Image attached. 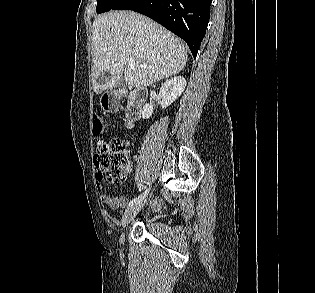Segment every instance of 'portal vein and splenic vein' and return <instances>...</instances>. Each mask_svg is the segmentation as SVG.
Returning a JSON list of instances; mask_svg holds the SVG:
<instances>
[{"label":"portal vein and splenic vein","instance_id":"18ae733b","mask_svg":"<svg viewBox=\"0 0 315 293\" xmlns=\"http://www.w3.org/2000/svg\"><path fill=\"white\" fill-rule=\"evenodd\" d=\"M128 63H129V65H130L131 67H134V66L136 65L134 59H129Z\"/></svg>","mask_w":315,"mask_h":293}]
</instances>
